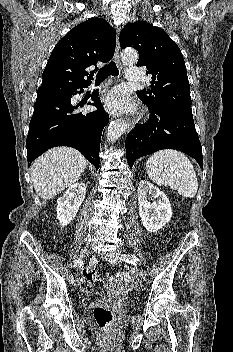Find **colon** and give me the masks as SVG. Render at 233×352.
<instances>
[{
    "mask_svg": "<svg viewBox=\"0 0 233 352\" xmlns=\"http://www.w3.org/2000/svg\"><path fill=\"white\" fill-rule=\"evenodd\" d=\"M98 279L97 269L95 266H88L83 273L84 286L90 289L94 281ZM93 316L100 328H107L113 321V313L108 308L97 306L93 310Z\"/></svg>",
    "mask_w": 233,
    "mask_h": 352,
    "instance_id": "obj_1",
    "label": "colon"
}]
</instances>
